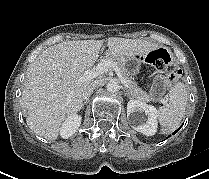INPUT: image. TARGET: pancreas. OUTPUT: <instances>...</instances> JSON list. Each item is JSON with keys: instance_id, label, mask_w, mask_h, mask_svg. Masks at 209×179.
I'll list each match as a JSON object with an SVG mask.
<instances>
[{"instance_id": "1", "label": "pancreas", "mask_w": 209, "mask_h": 179, "mask_svg": "<svg viewBox=\"0 0 209 179\" xmlns=\"http://www.w3.org/2000/svg\"><path fill=\"white\" fill-rule=\"evenodd\" d=\"M104 60H110V61H113L116 64V66L118 67V69L121 72V75L126 80V82L128 84V92L133 98H136V99H138L139 101H142V102L152 101L150 95L147 92L143 91L141 88H139L137 83L132 81L127 76L119 58L113 57L111 55H107Z\"/></svg>"}]
</instances>
